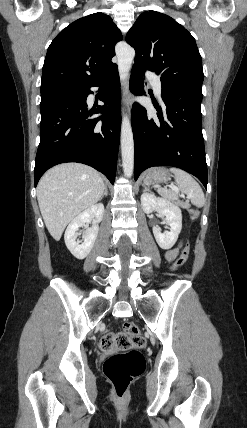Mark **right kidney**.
<instances>
[{
    "instance_id": "1",
    "label": "right kidney",
    "mask_w": 247,
    "mask_h": 428,
    "mask_svg": "<svg viewBox=\"0 0 247 428\" xmlns=\"http://www.w3.org/2000/svg\"><path fill=\"white\" fill-rule=\"evenodd\" d=\"M103 215L104 205L98 203L80 213L68 225L64 235L65 244L72 255L77 259H84L93 248L99 231L98 223L101 222ZM91 220L94 221V225L86 229L82 235L83 242L79 244L77 240L79 233L77 231L79 227L85 226V224L89 223Z\"/></svg>"
}]
</instances>
